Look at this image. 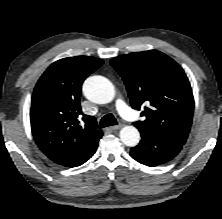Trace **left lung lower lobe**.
I'll list each match as a JSON object with an SVG mask.
<instances>
[{
    "label": "left lung lower lobe",
    "instance_id": "0a47b994",
    "mask_svg": "<svg viewBox=\"0 0 222 219\" xmlns=\"http://www.w3.org/2000/svg\"><path fill=\"white\" fill-rule=\"evenodd\" d=\"M138 129L142 139L136 147L131 148L130 155L141 164L157 166L166 163L172 160L183 146L147 129Z\"/></svg>",
    "mask_w": 222,
    "mask_h": 219
}]
</instances>
